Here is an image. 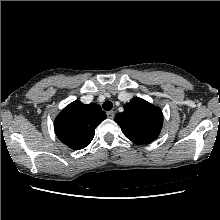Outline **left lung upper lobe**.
Segmentation results:
<instances>
[{
  "mask_svg": "<svg viewBox=\"0 0 220 220\" xmlns=\"http://www.w3.org/2000/svg\"><path fill=\"white\" fill-rule=\"evenodd\" d=\"M115 122L129 140L146 144L159 135L163 115L158 107L139 97H134L124 106V111L115 116Z\"/></svg>",
  "mask_w": 220,
  "mask_h": 220,
  "instance_id": "5c2ea615",
  "label": "left lung upper lobe"
}]
</instances>
